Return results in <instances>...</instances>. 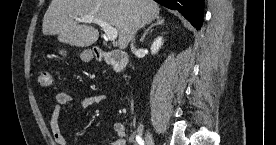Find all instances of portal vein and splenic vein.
Instances as JSON below:
<instances>
[{"label": "portal vein and splenic vein", "mask_w": 276, "mask_h": 145, "mask_svg": "<svg viewBox=\"0 0 276 145\" xmlns=\"http://www.w3.org/2000/svg\"><path fill=\"white\" fill-rule=\"evenodd\" d=\"M77 21L84 22V23H95L99 25L103 31L105 32L107 38L110 41H115L118 36V31L113 26L109 25L105 21L101 19H97L94 16H81L75 18Z\"/></svg>", "instance_id": "18ae733b"}]
</instances>
